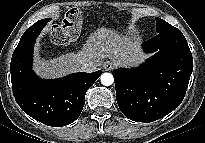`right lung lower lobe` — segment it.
I'll return each instance as SVG.
<instances>
[{
	"instance_id": "obj_1",
	"label": "right lung lower lobe",
	"mask_w": 205,
	"mask_h": 143,
	"mask_svg": "<svg viewBox=\"0 0 205 143\" xmlns=\"http://www.w3.org/2000/svg\"><path fill=\"white\" fill-rule=\"evenodd\" d=\"M49 21H37L22 35L11 59V82L15 100L26 114L45 125L61 127L79 117L85 94L102 71L74 73L54 80L38 78L31 69L33 46Z\"/></svg>"
}]
</instances>
